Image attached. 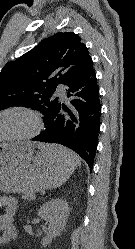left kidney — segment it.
I'll list each match as a JSON object with an SVG mask.
<instances>
[{
	"instance_id": "1",
	"label": "left kidney",
	"mask_w": 135,
	"mask_h": 249,
	"mask_svg": "<svg viewBox=\"0 0 135 249\" xmlns=\"http://www.w3.org/2000/svg\"><path fill=\"white\" fill-rule=\"evenodd\" d=\"M38 215L49 224L47 236L41 241L42 246L45 247L65 229L69 217V206L66 200L53 199L41 206Z\"/></svg>"
}]
</instances>
